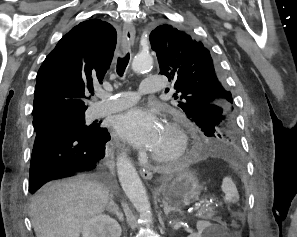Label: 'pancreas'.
Masks as SVG:
<instances>
[{"label":"pancreas","instance_id":"1","mask_svg":"<svg viewBox=\"0 0 297 237\" xmlns=\"http://www.w3.org/2000/svg\"><path fill=\"white\" fill-rule=\"evenodd\" d=\"M215 210H210L207 207H202L196 214L197 217L203 218V219H213L216 215Z\"/></svg>","mask_w":297,"mask_h":237}]
</instances>
